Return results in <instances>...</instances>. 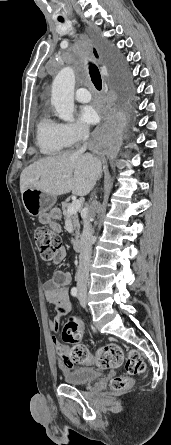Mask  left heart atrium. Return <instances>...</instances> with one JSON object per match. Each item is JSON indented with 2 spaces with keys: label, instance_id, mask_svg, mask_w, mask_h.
Wrapping results in <instances>:
<instances>
[{
  "label": "left heart atrium",
  "instance_id": "39dd6f15",
  "mask_svg": "<svg viewBox=\"0 0 171 445\" xmlns=\"http://www.w3.org/2000/svg\"><path fill=\"white\" fill-rule=\"evenodd\" d=\"M79 118L83 124L91 125L98 121L99 115L94 107L84 106L80 110Z\"/></svg>",
  "mask_w": 171,
  "mask_h": 445
}]
</instances>
